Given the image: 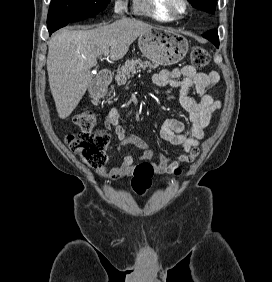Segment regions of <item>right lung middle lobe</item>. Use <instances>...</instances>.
<instances>
[{"label": "right lung middle lobe", "instance_id": "obj_1", "mask_svg": "<svg viewBox=\"0 0 272 282\" xmlns=\"http://www.w3.org/2000/svg\"><path fill=\"white\" fill-rule=\"evenodd\" d=\"M109 2L110 0H52L47 24L81 13H99L107 7Z\"/></svg>", "mask_w": 272, "mask_h": 282}]
</instances>
